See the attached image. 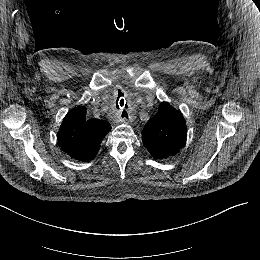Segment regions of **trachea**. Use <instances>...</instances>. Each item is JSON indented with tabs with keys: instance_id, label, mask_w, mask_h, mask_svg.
<instances>
[{
	"instance_id": "3493384b",
	"label": "trachea",
	"mask_w": 260,
	"mask_h": 260,
	"mask_svg": "<svg viewBox=\"0 0 260 260\" xmlns=\"http://www.w3.org/2000/svg\"><path fill=\"white\" fill-rule=\"evenodd\" d=\"M122 117H123V118H124V117H125V118H128L127 113H126V112H123V113H122Z\"/></svg>"
}]
</instances>
